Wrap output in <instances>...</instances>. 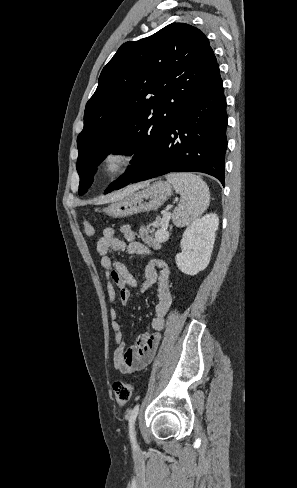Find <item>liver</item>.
Listing matches in <instances>:
<instances>
[{"instance_id":"1","label":"liver","mask_w":297,"mask_h":488,"mask_svg":"<svg viewBox=\"0 0 297 488\" xmlns=\"http://www.w3.org/2000/svg\"><path fill=\"white\" fill-rule=\"evenodd\" d=\"M146 185H147V183L138 184V185H135V186H130V187L126 188L125 190L121 191V192L113 193V194L108 195L107 197L104 198V200L105 201H114V200L120 199L123 196H125L126 194L131 193V192H134V191L138 190L139 188H143Z\"/></svg>"}]
</instances>
